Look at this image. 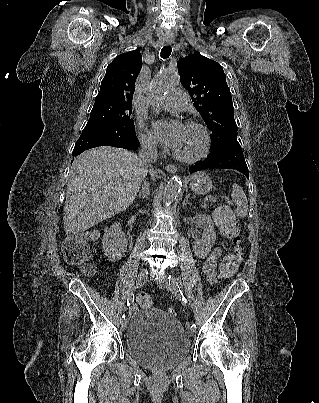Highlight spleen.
Segmentation results:
<instances>
[{"label": "spleen", "instance_id": "obj_1", "mask_svg": "<svg viewBox=\"0 0 319 403\" xmlns=\"http://www.w3.org/2000/svg\"><path fill=\"white\" fill-rule=\"evenodd\" d=\"M232 202L236 205L235 213L238 217H245L248 214V200L243 189L236 183L232 185Z\"/></svg>", "mask_w": 319, "mask_h": 403}]
</instances>
